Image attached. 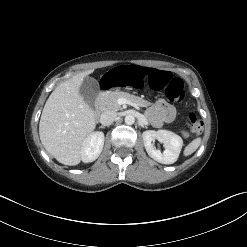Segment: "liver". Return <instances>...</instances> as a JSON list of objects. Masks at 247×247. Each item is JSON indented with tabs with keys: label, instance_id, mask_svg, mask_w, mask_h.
Here are the masks:
<instances>
[{
	"label": "liver",
	"instance_id": "obj_1",
	"mask_svg": "<svg viewBox=\"0 0 247 247\" xmlns=\"http://www.w3.org/2000/svg\"><path fill=\"white\" fill-rule=\"evenodd\" d=\"M93 70L81 72L61 83L47 99L40 123V140L58 162L80 163L81 148L96 127L95 114L80 95V87Z\"/></svg>",
	"mask_w": 247,
	"mask_h": 247
}]
</instances>
